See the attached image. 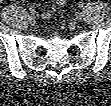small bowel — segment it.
I'll return each instance as SVG.
<instances>
[{
  "instance_id": "1",
  "label": "small bowel",
  "mask_w": 111,
  "mask_h": 106,
  "mask_svg": "<svg viewBox=\"0 0 111 106\" xmlns=\"http://www.w3.org/2000/svg\"><path fill=\"white\" fill-rule=\"evenodd\" d=\"M66 4L65 0H57L55 1L54 5L49 7L48 9H46L43 13H42V17L44 19H48L51 17L53 11L55 10V7H63Z\"/></svg>"
}]
</instances>
